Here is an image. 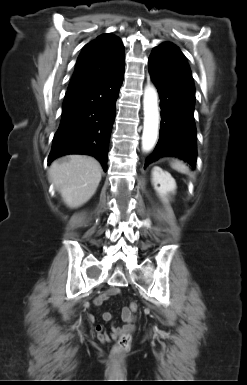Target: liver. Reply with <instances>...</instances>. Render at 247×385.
Returning <instances> with one entry per match:
<instances>
[{"label": "liver", "mask_w": 247, "mask_h": 385, "mask_svg": "<svg viewBox=\"0 0 247 385\" xmlns=\"http://www.w3.org/2000/svg\"><path fill=\"white\" fill-rule=\"evenodd\" d=\"M49 176L64 203L70 208H78L96 192L102 168L93 157L70 155L54 161Z\"/></svg>", "instance_id": "obj_1"}]
</instances>
